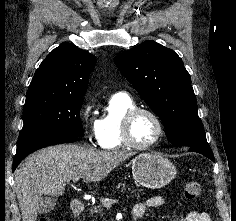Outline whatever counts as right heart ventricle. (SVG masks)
<instances>
[{"label":"right heart ventricle","mask_w":236,"mask_h":221,"mask_svg":"<svg viewBox=\"0 0 236 221\" xmlns=\"http://www.w3.org/2000/svg\"><path fill=\"white\" fill-rule=\"evenodd\" d=\"M136 107L135 101L125 93L110 97L98 120L99 145L105 150L125 148L121 138V121L125 113Z\"/></svg>","instance_id":"right-heart-ventricle-1"}]
</instances>
